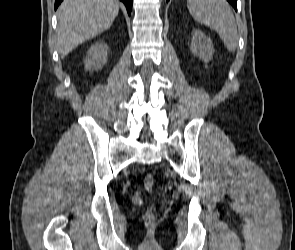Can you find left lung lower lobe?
Returning a JSON list of instances; mask_svg holds the SVG:
<instances>
[{"mask_svg": "<svg viewBox=\"0 0 295 250\" xmlns=\"http://www.w3.org/2000/svg\"><path fill=\"white\" fill-rule=\"evenodd\" d=\"M227 1L234 7L235 10H237V0H227Z\"/></svg>", "mask_w": 295, "mask_h": 250, "instance_id": "obj_1", "label": "left lung lower lobe"}]
</instances>
